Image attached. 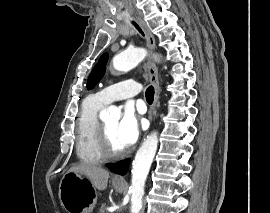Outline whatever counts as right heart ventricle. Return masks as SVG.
Returning a JSON list of instances; mask_svg holds the SVG:
<instances>
[{
    "instance_id": "obj_1",
    "label": "right heart ventricle",
    "mask_w": 270,
    "mask_h": 213,
    "mask_svg": "<svg viewBox=\"0 0 270 213\" xmlns=\"http://www.w3.org/2000/svg\"><path fill=\"white\" fill-rule=\"evenodd\" d=\"M104 107L95 96L86 98L81 106L76 120V154L87 163H101L104 156L98 145V113Z\"/></svg>"
}]
</instances>
